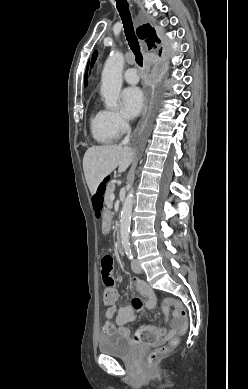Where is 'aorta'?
Returning a JSON list of instances; mask_svg holds the SVG:
<instances>
[{
	"instance_id": "obj_1",
	"label": "aorta",
	"mask_w": 248,
	"mask_h": 389,
	"mask_svg": "<svg viewBox=\"0 0 248 389\" xmlns=\"http://www.w3.org/2000/svg\"><path fill=\"white\" fill-rule=\"evenodd\" d=\"M124 65V56L120 51L111 52L106 60L101 78V95L104 99L106 108H117L119 95L122 87V70ZM134 199V190L130 189L123 203L120 220L121 242L124 248H128L129 232L131 225V212Z\"/></svg>"
}]
</instances>
